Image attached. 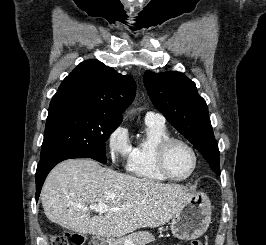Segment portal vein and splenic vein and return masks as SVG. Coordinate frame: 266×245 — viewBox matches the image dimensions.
<instances>
[{"label": "portal vein and splenic vein", "mask_w": 266, "mask_h": 245, "mask_svg": "<svg viewBox=\"0 0 266 245\" xmlns=\"http://www.w3.org/2000/svg\"><path fill=\"white\" fill-rule=\"evenodd\" d=\"M130 205H126L123 209H127ZM79 209H85V211H96V213H106V211H119V209H108L107 205H101V203H97V205H89V207H79ZM123 245H133L132 239H124Z\"/></svg>", "instance_id": "obj_1"}]
</instances>
